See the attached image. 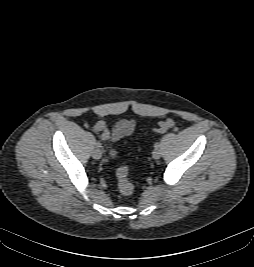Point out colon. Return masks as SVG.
I'll list each match as a JSON object with an SVG mask.
<instances>
[{
    "instance_id": "obj_1",
    "label": "colon",
    "mask_w": 254,
    "mask_h": 267,
    "mask_svg": "<svg viewBox=\"0 0 254 267\" xmlns=\"http://www.w3.org/2000/svg\"><path fill=\"white\" fill-rule=\"evenodd\" d=\"M174 125L172 119H166L161 121L155 128L154 131L157 133H164L171 129ZM116 176L118 179V188L122 195L130 196L134 192V186L129 178V168L128 166H121L116 171Z\"/></svg>"
}]
</instances>
